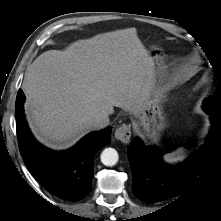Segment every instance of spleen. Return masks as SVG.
Segmentation results:
<instances>
[{"label":"spleen","instance_id":"spleen-1","mask_svg":"<svg viewBox=\"0 0 221 221\" xmlns=\"http://www.w3.org/2000/svg\"><path fill=\"white\" fill-rule=\"evenodd\" d=\"M185 153L186 150L183 147H181L177 149L175 152L165 155L164 160L168 163H176L184 159Z\"/></svg>","mask_w":221,"mask_h":221}]
</instances>
